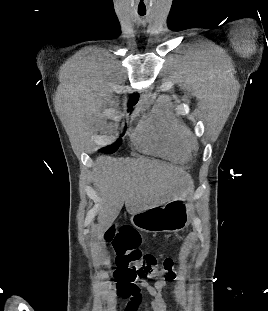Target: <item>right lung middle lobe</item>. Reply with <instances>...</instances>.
<instances>
[{"mask_svg":"<svg viewBox=\"0 0 268 311\" xmlns=\"http://www.w3.org/2000/svg\"><path fill=\"white\" fill-rule=\"evenodd\" d=\"M121 139H118L114 144L107 146L105 148H102L100 151L104 153H114L119 148Z\"/></svg>","mask_w":268,"mask_h":311,"instance_id":"1","label":"right lung middle lobe"}]
</instances>
